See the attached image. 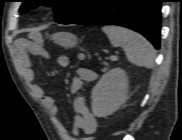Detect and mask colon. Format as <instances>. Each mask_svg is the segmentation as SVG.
Segmentation results:
<instances>
[{
  "instance_id": "1",
  "label": "colon",
  "mask_w": 182,
  "mask_h": 140,
  "mask_svg": "<svg viewBox=\"0 0 182 140\" xmlns=\"http://www.w3.org/2000/svg\"><path fill=\"white\" fill-rule=\"evenodd\" d=\"M82 140H90V138H84V139H82Z\"/></svg>"
}]
</instances>
